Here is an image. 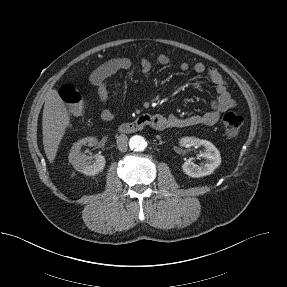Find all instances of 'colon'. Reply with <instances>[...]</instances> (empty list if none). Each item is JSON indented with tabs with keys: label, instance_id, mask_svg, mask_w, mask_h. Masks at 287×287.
<instances>
[{
	"label": "colon",
	"instance_id": "5ec220e1",
	"mask_svg": "<svg viewBox=\"0 0 287 287\" xmlns=\"http://www.w3.org/2000/svg\"><path fill=\"white\" fill-rule=\"evenodd\" d=\"M61 99L70 106L74 114H82L84 111V99L80 92L71 85H64L60 88ZM225 134L235 137L239 134L243 125V117L235 112H228L222 119Z\"/></svg>",
	"mask_w": 287,
	"mask_h": 287
}]
</instances>
